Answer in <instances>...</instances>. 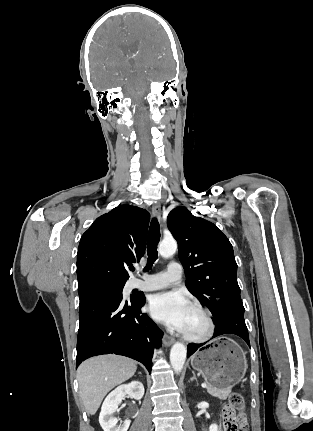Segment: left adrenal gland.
Returning <instances> with one entry per match:
<instances>
[{"instance_id":"obj_1","label":"left adrenal gland","mask_w":313,"mask_h":431,"mask_svg":"<svg viewBox=\"0 0 313 431\" xmlns=\"http://www.w3.org/2000/svg\"><path fill=\"white\" fill-rule=\"evenodd\" d=\"M192 373H193V377H192V378H190V381H193V380L197 381V378H196L195 372L193 371Z\"/></svg>"}]
</instances>
